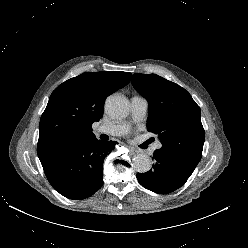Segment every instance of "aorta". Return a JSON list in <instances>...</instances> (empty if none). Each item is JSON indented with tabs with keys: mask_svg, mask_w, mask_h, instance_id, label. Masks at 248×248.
Returning a JSON list of instances; mask_svg holds the SVG:
<instances>
[{
	"mask_svg": "<svg viewBox=\"0 0 248 248\" xmlns=\"http://www.w3.org/2000/svg\"><path fill=\"white\" fill-rule=\"evenodd\" d=\"M106 112L113 119L125 118L129 113V102L121 95H111L105 102ZM134 169L139 173H146L152 167V160L146 154H138L133 159Z\"/></svg>",
	"mask_w": 248,
	"mask_h": 248,
	"instance_id": "obj_1",
	"label": "aorta"
}]
</instances>
